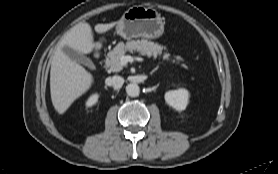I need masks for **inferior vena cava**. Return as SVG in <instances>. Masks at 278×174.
I'll use <instances>...</instances> for the list:
<instances>
[{"label":"inferior vena cava","mask_w":278,"mask_h":174,"mask_svg":"<svg viewBox=\"0 0 278 174\" xmlns=\"http://www.w3.org/2000/svg\"><path fill=\"white\" fill-rule=\"evenodd\" d=\"M110 85L114 88V89H120L124 83V78L121 76H113L110 78L109 80Z\"/></svg>","instance_id":"602c4592"}]
</instances>
